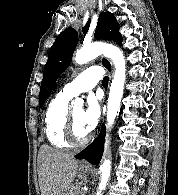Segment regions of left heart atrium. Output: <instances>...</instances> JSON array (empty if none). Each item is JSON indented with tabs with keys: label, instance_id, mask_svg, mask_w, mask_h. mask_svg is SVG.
I'll return each mask as SVG.
<instances>
[{
	"label": "left heart atrium",
	"instance_id": "obj_1",
	"mask_svg": "<svg viewBox=\"0 0 178 195\" xmlns=\"http://www.w3.org/2000/svg\"><path fill=\"white\" fill-rule=\"evenodd\" d=\"M100 116L99 105L94 98L88 100V105L83 113V126L90 133L97 125Z\"/></svg>",
	"mask_w": 178,
	"mask_h": 195
}]
</instances>
